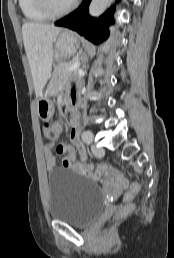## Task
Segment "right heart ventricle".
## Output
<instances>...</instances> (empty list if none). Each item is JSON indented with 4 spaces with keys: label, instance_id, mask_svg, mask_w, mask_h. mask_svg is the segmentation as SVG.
I'll list each match as a JSON object with an SVG mask.
<instances>
[{
    "label": "right heart ventricle",
    "instance_id": "e07e8e85",
    "mask_svg": "<svg viewBox=\"0 0 174 258\" xmlns=\"http://www.w3.org/2000/svg\"><path fill=\"white\" fill-rule=\"evenodd\" d=\"M19 6L28 21L44 22L49 19V17L40 10L36 0H19Z\"/></svg>",
    "mask_w": 174,
    "mask_h": 258
}]
</instances>
